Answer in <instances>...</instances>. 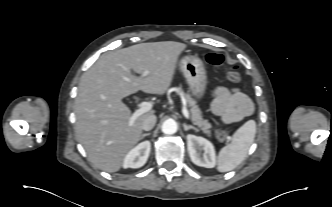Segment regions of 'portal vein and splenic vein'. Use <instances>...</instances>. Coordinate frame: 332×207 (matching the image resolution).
<instances>
[{
  "instance_id": "obj_1",
  "label": "portal vein and splenic vein",
  "mask_w": 332,
  "mask_h": 207,
  "mask_svg": "<svg viewBox=\"0 0 332 207\" xmlns=\"http://www.w3.org/2000/svg\"><path fill=\"white\" fill-rule=\"evenodd\" d=\"M147 73L148 72H145L143 74V76H146ZM139 107L140 108L132 114V116L129 120V126H132L134 124V121L138 116H140L143 113H146V112L150 111L152 109V103L151 102H141L139 104ZM182 111H183V115L185 116V118L189 119V112H188L187 108L183 107Z\"/></svg>"
}]
</instances>
